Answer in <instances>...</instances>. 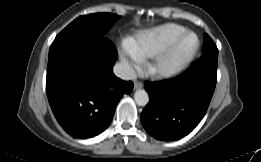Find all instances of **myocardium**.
<instances>
[{
    "mask_svg": "<svg viewBox=\"0 0 261 162\" xmlns=\"http://www.w3.org/2000/svg\"><path fill=\"white\" fill-rule=\"evenodd\" d=\"M195 37V43L192 48L186 52L182 57L177 58V52L188 36ZM200 46L198 35L193 31H185L177 38H175L164 50L155 55L152 63L149 65V72L159 78L169 79L174 78L183 73L193 58L195 57Z\"/></svg>",
    "mask_w": 261,
    "mask_h": 162,
    "instance_id": "1",
    "label": "myocardium"
}]
</instances>
